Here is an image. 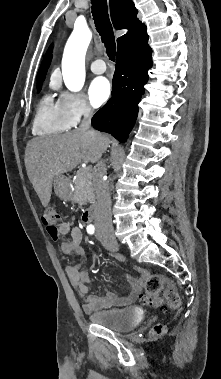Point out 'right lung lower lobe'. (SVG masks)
Masks as SVG:
<instances>
[{
  "instance_id": "right-lung-lower-lobe-1",
  "label": "right lung lower lobe",
  "mask_w": 221,
  "mask_h": 379,
  "mask_svg": "<svg viewBox=\"0 0 221 379\" xmlns=\"http://www.w3.org/2000/svg\"><path fill=\"white\" fill-rule=\"evenodd\" d=\"M151 53L146 29L118 46L112 98L93 116L95 129L110 133L121 142L126 140L153 65Z\"/></svg>"
}]
</instances>
